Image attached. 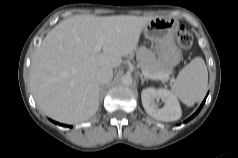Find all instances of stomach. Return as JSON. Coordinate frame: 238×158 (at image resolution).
Listing matches in <instances>:
<instances>
[{
  "instance_id": "obj_1",
  "label": "stomach",
  "mask_w": 238,
  "mask_h": 158,
  "mask_svg": "<svg viewBox=\"0 0 238 158\" xmlns=\"http://www.w3.org/2000/svg\"><path fill=\"white\" fill-rule=\"evenodd\" d=\"M177 22L168 18H154L144 27V35L155 43L160 62L172 69L179 64L182 52L175 41Z\"/></svg>"
}]
</instances>
